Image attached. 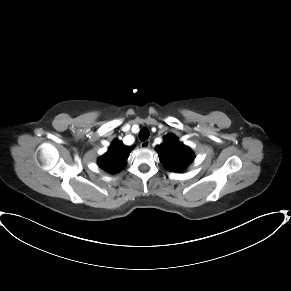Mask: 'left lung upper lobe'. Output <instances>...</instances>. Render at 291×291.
I'll return each instance as SVG.
<instances>
[{
    "instance_id": "left-lung-upper-lobe-1",
    "label": "left lung upper lobe",
    "mask_w": 291,
    "mask_h": 291,
    "mask_svg": "<svg viewBox=\"0 0 291 291\" xmlns=\"http://www.w3.org/2000/svg\"><path fill=\"white\" fill-rule=\"evenodd\" d=\"M156 151L161 163L169 171H183L194 160L192 150L180 143L173 134L164 136L163 143L156 146Z\"/></svg>"
}]
</instances>
